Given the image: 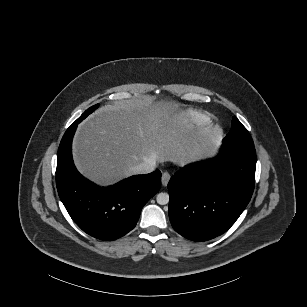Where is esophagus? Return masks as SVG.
Listing matches in <instances>:
<instances>
[{"label":"esophagus","mask_w":307,"mask_h":307,"mask_svg":"<svg viewBox=\"0 0 307 307\" xmlns=\"http://www.w3.org/2000/svg\"><path fill=\"white\" fill-rule=\"evenodd\" d=\"M170 180V174L168 172H164L161 177V183L163 186H167Z\"/></svg>","instance_id":"1"}]
</instances>
